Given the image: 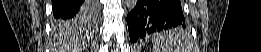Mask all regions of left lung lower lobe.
Instances as JSON below:
<instances>
[{
  "instance_id": "obj_1",
  "label": "left lung lower lobe",
  "mask_w": 261,
  "mask_h": 52,
  "mask_svg": "<svg viewBox=\"0 0 261 52\" xmlns=\"http://www.w3.org/2000/svg\"><path fill=\"white\" fill-rule=\"evenodd\" d=\"M127 24L130 41L136 42L144 36L184 26L180 0H139L128 14Z\"/></svg>"
}]
</instances>
